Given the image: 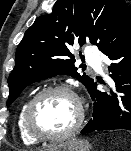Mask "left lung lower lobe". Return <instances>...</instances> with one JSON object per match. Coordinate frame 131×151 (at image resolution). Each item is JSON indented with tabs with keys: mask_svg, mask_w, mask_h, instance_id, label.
<instances>
[{
	"mask_svg": "<svg viewBox=\"0 0 131 151\" xmlns=\"http://www.w3.org/2000/svg\"><path fill=\"white\" fill-rule=\"evenodd\" d=\"M112 61L108 67L115 87L109 92L96 89V82L88 92L94 103L92 118L81 133L96 130L131 131V36L105 53Z\"/></svg>",
	"mask_w": 131,
	"mask_h": 151,
	"instance_id": "left-lung-lower-lobe-1",
	"label": "left lung lower lobe"
}]
</instances>
